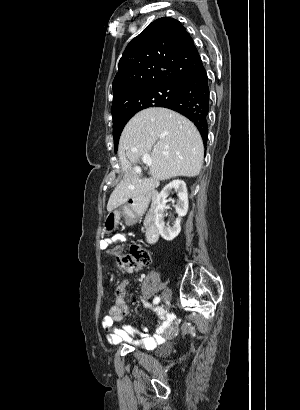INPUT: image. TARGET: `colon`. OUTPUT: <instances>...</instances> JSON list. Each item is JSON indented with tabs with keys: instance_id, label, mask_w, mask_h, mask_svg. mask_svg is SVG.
Returning a JSON list of instances; mask_svg holds the SVG:
<instances>
[{
	"instance_id": "1",
	"label": "colon",
	"mask_w": 300,
	"mask_h": 410,
	"mask_svg": "<svg viewBox=\"0 0 300 410\" xmlns=\"http://www.w3.org/2000/svg\"><path fill=\"white\" fill-rule=\"evenodd\" d=\"M149 260L148 249L139 241H134L130 244L127 253L117 256L115 265L121 271H131L145 266Z\"/></svg>"
}]
</instances>
